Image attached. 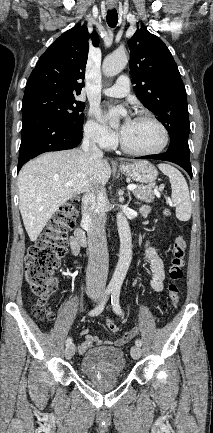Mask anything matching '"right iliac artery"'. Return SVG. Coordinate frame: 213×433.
Wrapping results in <instances>:
<instances>
[{"label": "right iliac artery", "mask_w": 213, "mask_h": 433, "mask_svg": "<svg viewBox=\"0 0 213 433\" xmlns=\"http://www.w3.org/2000/svg\"><path fill=\"white\" fill-rule=\"evenodd\" d=\"M112 290H113L112 287H107V289L105 290V293L103 295V298H102L101 302L94 309H92L89 312L90 316H97V315H99L104 310L105 304H106V302L108 300V296L112 292ZM71 344H72V339L69 337L66 340V346H69Z\"/></svg>", "instance_id": "1"}]
</instances>
